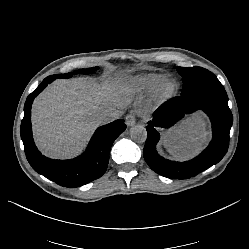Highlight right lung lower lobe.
<instances>
[{
	"label": "right lung lower lobe",
	"instance_id": "98d812e1",
	"mask_svg": "<svg viewBox=\"0 0 249 249\" xmlns=\"http://www.w3.org/2000/svg\"><path fill=\"white\" fill-rule=\"evenodd\" d=\"M54 79L45 78L27 97L21 122V139L28 162L39 174L64 187H79L101 177L108 166L109 153L115 139L126 129L124 120H116L97 128L86 151L71 160H52L36 148L31 128V106L34 98Z\"/></svg>",
	"mask_w": 249,
	"mask_h": 249
}]
</instances>
